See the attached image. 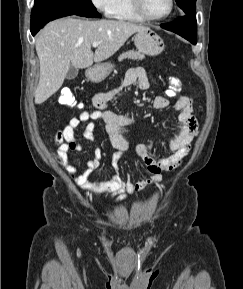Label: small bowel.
Masks as SVG:
<instances>
[{"mask_svg":"<svg viewBox=\"0 0 243 289\" xmlns=\"http://www.w3.org/2000/svg\"><path fill=\"white\" fill-rule=\"evenodd\" d=\"M134 83H137L143 90L149 87V76L143 68L134 67L129 69L121 89L127 88ZM116 93L117 91H108L95 94L92 99L94 109L90 111L82 109L65 126L58 129L54 136V144L57 147L58 157L64 169L82 191L89 195L101 196L104 193L103 189H105L107 196H117L115 200L117 204L122 202L128 194L159 182L164 172L180 166L190 151L192 141L199 133V125L193 114L192 100L185 95L179 96L174 104L173 112L165 121L167 126H172L175 120L181 124L180 133L167 144L170 154L167 157H152L149 155L150 145L138 144L134 148V152L142 160L151 176L135 184L129 180L125 181L120 174L119 163L122 156L130 150V145L123 134V128L132 124L134 119L130 115L116 114L107 109L108 104ZM168 105L169 100L163 95L156 96L152 102V107L157 110L165 109ZM90 120L103 122L111 145L118 150L111 162L114 173L111 174L109 180L103 186L89 180L90 175L101 168L103 153L99 147L92 149L93 156L86 163V168L81 172L72 164L70 158L71 152L84 149L75 137V129L86 124L84 137L89 141H94L96 125Z\"/></svg>","mask_w":243,"mask_h":289,"instance_id":"c3829d8e","label":"small bowel"}]
</instances>
